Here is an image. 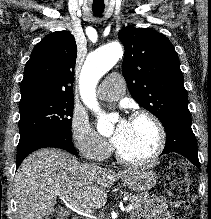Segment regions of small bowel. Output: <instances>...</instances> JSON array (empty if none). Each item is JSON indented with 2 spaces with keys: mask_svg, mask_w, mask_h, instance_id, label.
Here are the masks:
<instances>
[{
  "mask_svg": "<svg viewBox=\"0 0 211 219\" xmlns=\"http://www.w3.org/2000/svg\"><path fill=\"white\" fill-rule=\"evenodd\" d=\"M131 219H170L166 201L162 197H152L146 206L132 215Z\"/></svg>",
  "mask_w": 211,
  "mask_h": 219,
  "instance_id": "small-bowel-1",
  "label": "small bowel"
}]
</instances>
